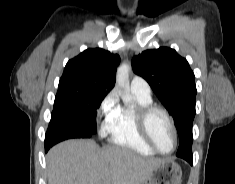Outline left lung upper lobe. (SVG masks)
Segmentation results:
<instances>
[{
  "label": "left lung upper lobe",
  "instance_id": "obj_1",
  "mask_svg": "<svg viewBox=\"0 0 235 184\" xmlns=\"http://www.w3.org/2000/svg\"><path fill=\"white\" fill-rule=\"evenodd\" d=\"M134 72L143 77L172 115L179 135L177 156L193 158L192 125L195 116V76L187 60L174 49L160 47L134 56Z\"/></svg>",
  "mask_w": 235,
  "mask_h": 184
}]
</instances>
